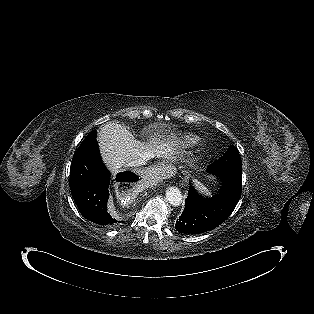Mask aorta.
<instances>
[{"label":"aorta","mask_w":314,"mask_h":314,"mask_svg":"<svg viewBox=\"0 0 314 314\" xmlns=\"http://www.w3.org/2000/svg\"><path fill=\"white\" fill-rule=\"evenodd\" d=\"M166 199L170 205L174 207L179 206L182 203L181 191L174 186L168 187L166 190Z\"/></svg>","instance_id":"obj_1"}]
</instances>
